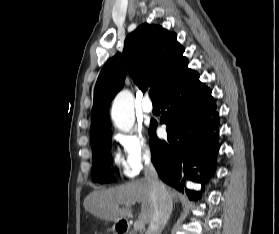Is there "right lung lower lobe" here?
<instances>
[{
  "mask_svg": "<svg viewBox=\"0 0 279 234\" xmlns=\"http://www.w3.org/2000/svg\"><path fill=\"white\" fill-rule=\"evenodd\" d=\"M159 102L161 123L166 124L168 133L167 141L159 140L155 133L157 123H151L152 162L159 176L179 191L184 190L186 180L204 183L216 170L219 149V119L211 90L199 81L196 71L187 68L159 96ZM185 192L198 197L187 188Z\"/></svg>",
  "mask_w": 279,
  "mask_h": 234,
  "instance_id": "1",
  "label": "right lung lower lobe"
}]
</instances>
